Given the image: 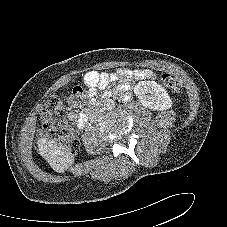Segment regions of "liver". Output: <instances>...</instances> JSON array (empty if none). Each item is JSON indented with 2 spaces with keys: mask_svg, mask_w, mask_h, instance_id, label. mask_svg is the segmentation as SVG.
I'll use <instances>...</instances> for the list:
<instances>
[{
  "mask_svg": "<svg viewBox=\"0 0 227 227\" xmlns=\"http://www.w3.org/2000/svg\"><path fill=\"white\" fill-rule=\"evenodd\" d=\"M40 138L37 140L38 153L49 163L51 168L63 173L74 162V155L71 149L64 147L62 143H57L55 140H50L46 135L39 131Z\"/></svg>",
  "mask_w": 227,
  "mask_h": 227,
  "instance_id": "obj_1",
  "label": "liver"
}]
</instances>
